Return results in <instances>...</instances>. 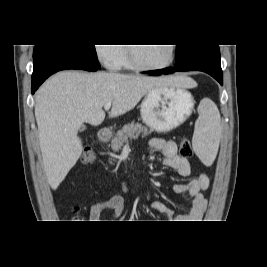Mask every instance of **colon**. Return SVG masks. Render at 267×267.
Returning a JSON list of instances; mask_svg holds the SVG:
<instances>
[{
  "label": "colon",
  "mask_w": 267,
  "mask_h": 267,
  "mask_svg": "<svg viewBox=\"0 0 267 267\" xmlns=\"http://www.w3.org/2000/svg\"><path fill=\"white\" fill-rule=\"evenodd\" d=\"M180 154L182 157H190L192 155L191 144L188 138L180 141ZM96 161V154L91 148H85L82 153V162L84 164H93Z\"/></svg>",
  "instance_id": "1"
}]
</instances>
